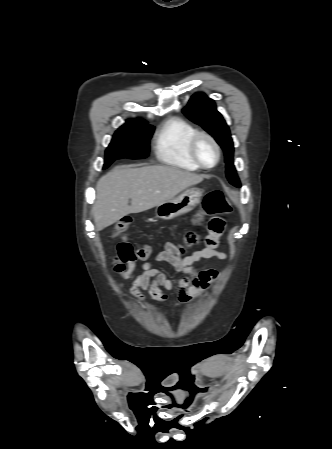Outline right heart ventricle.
<instances>
[{
	"instance_id": "right-heart-ventricle-1",
	"label": "right heart ventricle",
	"mask_w": 332,
	"mask_h": 449,
	"mask_svg": "<svg viewBox=\"0 0 332 449\" xmlns=\"http://www.w3.org/2000/svg\"><path fill=\"white\" fill-rule=\"evenodd\" d=\"M197 129L180 117H172L164 122L155 141L157 158L170 166L195 171L200 167L190 156L188 145Z\"/></svg>"
}]
</instances>
